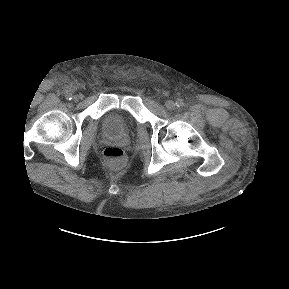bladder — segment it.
<instances>
[{"label": "bladder", "mask_w": 289, "mask_h": 289, "mask_svg": "<svg viewBox=\"0 0 289 289\" xmlns=\"http://www.w3.org/2000/svg\"><path fill=\"white\" fill-rule=\"evenodd\" d=\"M132 119L118 112L108 113L103 120V132L108 137L120 138L127 136L133 129Z\"/></svg>", "instance_id": "bladder-1"}]
</instances>
